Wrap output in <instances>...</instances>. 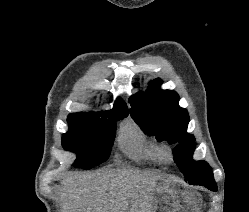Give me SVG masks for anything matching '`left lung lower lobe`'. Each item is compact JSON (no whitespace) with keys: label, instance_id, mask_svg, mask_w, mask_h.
<instances>
[{"label":"left lung lower lobe","instance_id":"0a47b994","mask_svg":"<svg viewBox=\"0 0 249 212\" xmlns=\"http://www.w3.org/2000/svg\"><path fill=\"white\" fill-rule=\"evenodd\" d=\"M202 186H205L206 188H208L209 190H212V191H217V185H216V182L213 181V182H209V183H204V184H201Z\"/></svg>","mask_w":249,"mask_h":212}]
</instances>
